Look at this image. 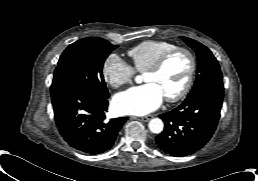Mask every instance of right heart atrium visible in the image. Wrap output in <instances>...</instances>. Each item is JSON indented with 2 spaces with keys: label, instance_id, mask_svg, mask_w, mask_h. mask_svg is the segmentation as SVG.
I'll list each match as a JSON object with an SVG mask.
<instances>
[{
  "label": "right heart atrium",
  "instance_id": "1",
  "mask_svg": "<svg viewBox=\"0 0 258 181\" xmlns=\"http://www.w3.org/2000/svg\"><path fill=\"white\" fill-rule=\"evenodd\" d=\"M104 80L113 88L121 87L132 81L134 68L118 55H109L102 66Z\"/></svg>",
  "mask_w": 258,
  "mask_h": 181
}]
</instances>
